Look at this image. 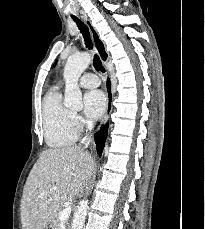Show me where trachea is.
<instances>
[{"label":"trachea","mask_w":205,"mask_h":229,"mask_svg":"<svg viewBox=\"0 0 205 229\" xmlns=\"http://www.w3.org/2000/svg\"><path fill=\"white\" fill-rule=\"evenodd\" d=\"M72 19L76 22L80 32L82 33L86 47H88L89 49H92L93 44H92V41L90 38L88 27L81 20H79L77 17L72 16ZM93 66L97 71H101V72L105 71V69L102 65V62H101V60L97 54L94 55Z\"/></svg>","instance_id":"obj_1"}]
</instances>
